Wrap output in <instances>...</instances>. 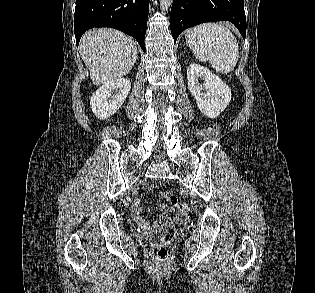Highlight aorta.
<instances>
[{"mask_svg":"<svg viewBox=\"0 0 315 293\" xmlns=\"http://www.w3.org/2000/svg\"><path fill=\"white\" fill-rule=\"evenodd\" d=\"M173 0H160V8L165 11L168 10Z\"/></svg>","mask_w":315,"mask_h":293,"instance_id":"aorta-1","label":"aorta"}]
</instances>
